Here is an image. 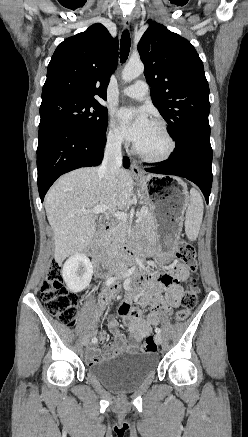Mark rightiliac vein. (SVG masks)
<instances>
[{"label":"right iliac vein","instance_id":"1","mask_svg":"<svg viewBox=\"0 0 248 437\" xmlns=\"http://www.w3.org/2000/svg\"><path fill=\"white\" fill-rule=\"evenodd\" d=\"M89 341H90L89 336H88V335H85V336L83 337V339H82V344H83L84 346H86V345L89 344Z\"/></svg>","mask_w":248,"mask_h":437}]
</instances>
